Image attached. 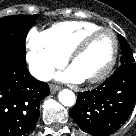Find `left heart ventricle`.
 Listing matches in <instances>:
<instances>
[{"instance_id":"left-heart-ventricle-1","label":"left heart ventricle","mask_w":136,"mask_h":136,"mask_svg":"<svg viewBox=\"0 0 136 136\" xmlns=\"http://www.w3.org/2000/svg\"><path fill=\"white\" fill-rule=\"evenodd\" d=\"M114 41L110 34L96 37L88 48L74 61L73 67L83 78L99 73L110 61Z\"/></svg>"}]
</instances>
